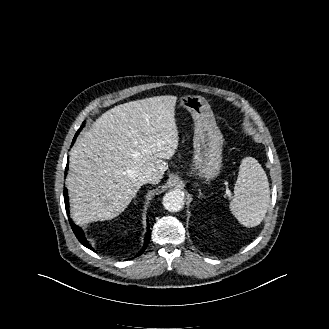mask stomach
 <instances>
[{
	"label": "stomach",
	"instance_id": "obj_1",
	"mask_svg": "<svg viewBox=\"0 0 329 329\" xmlns=\"http://www.w3.org/2000/svg\"><path fill=\"white\" fill-rule=\"evenodd\" d=\"M180 105L186 108L194 121V157L191 174L205 181L218 176L222 167L223 136L208 101L197 95L181 97Z\"/></svg>",
	"mask_w": 329,
	"mask_h": 329
}]
</instances>
